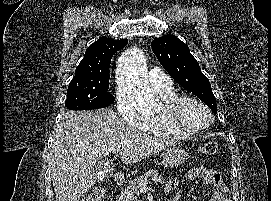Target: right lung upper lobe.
Segmentation results:
<instances>
[{
	"label": "right lung upper lobe",
	"mask_w": 271,
	"mask_h": 201,
	"mask_svg": "<svg viewBox=\"0 0 271 201\" xmlns=\"http://www.w3.org/2000/svg\"><path fill=\"white\" fill-rule=\"evenodd\" d=\"M128 43L127 39L115 40L101 37L91 44L75 70L77 75L109 74L113 55Z\"/></svg>",
	"instance_id": "1"
}]
</instances>
